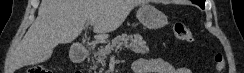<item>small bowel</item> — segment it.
Instances as JSON below:
<instances>
[{
	"instance_id": "small-bowel-1",
	"label": "small bowel",
	"mask_w": 244,
	"mask_h": 73,
	"mask_svg": "<svg viewBox=\"0 0 244 73\" xmlns=\"http://www.w3.org/2000/svg\"><path fill=\"white\" fill-rule=\"evenodd\" d=\"M134 73H191L186 67L175 69L171 64L160 58L138 59L133 64Z\"/></svg>"
}]
</instances>
